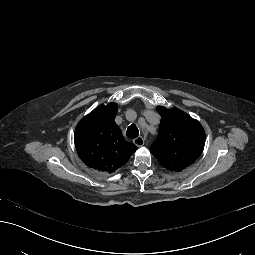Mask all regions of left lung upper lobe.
<instances>
[{"instance_id":"1","label":"left lung upper lobe","mask_w":255,"mask_h":255,"mask_svg":"<svg viewBox=\"0 0 255 255\" xmlns=\"http://www.w3.org/2000/svg\"><path fill=\"white\" fill-rule=\"evenodd\" d=\"M157 111L161 115L159 134L150 152L164 168L181 171L201 155L205 144L204 129L179 109L158 107Z\"/></svg>"}]
</instances>
